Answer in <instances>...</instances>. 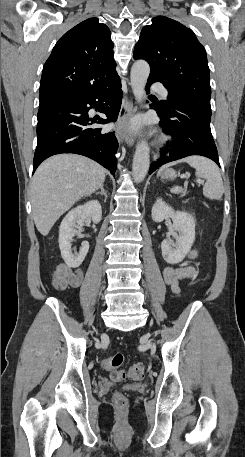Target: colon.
I'll return each mask as SVG.
<instances>
[{
    "label": "colon",
    "mask_w": 245,
    "mask_h": 457,
    "mask_svg": "<svg viewBox=\"0 0 245 457\" xmlns=\"http://www.w3.org/2000/svg\"><path fill=\"white\" fill-rule=\"evenodd\" d=\"M124 363V356L120 353L115 354L103 362V367L110 371L113 381H122L125 379L140 380L144 375V365L140 362L132 364L127 370L120 369ZM128 400L121 392H115L113 395V404L117 409H124Z\"/></svg>",
    "instance_id": "obj_1"
}]
</instances>
